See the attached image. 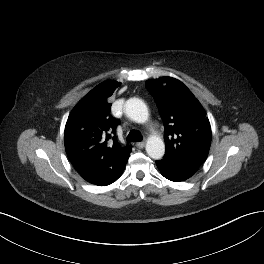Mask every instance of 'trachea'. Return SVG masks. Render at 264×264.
Here are the masks:
<instances>
[{"mask_svg":"<svg viewBox=\"0 0 264 264\" xmlns=\"http://www.w3.org/2000/svg\"><path fill=\"white\" fill-rule=\"evenodd\" d=\"M142 135L140 134L139 131L133 130L131 131L128 136H127V141L130 142H139L142 141Z\"/></svg>","mask_w":264,"mask_h":264,"instance_id":"1","label":"trachea"}]
</instances>
